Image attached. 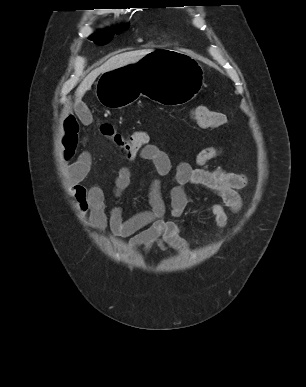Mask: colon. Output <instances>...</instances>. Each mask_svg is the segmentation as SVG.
<instances>
[{"label": "colon", "mask_w": 306, "mask_h": 387, "mask_svg": "<svg viewBox=\"0 0 306 387\" xmlns=\"http://www.w3.org/2000/svg\"><path fill=\"white\" fill-rule=\"evenodd\" d=\"M192 118L202 128H217L226 122V116L223 113L204 105H198L192 109ZM99 130L124 157L137 154L149 143V135L143 130L124 136L109 123H102Z\"/></svg>", "instance_id": "1"}]
</instances>
